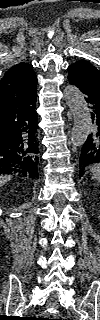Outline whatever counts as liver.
I'll list each match as a JSON object with an SVG mask.
<instances>
[{
	"mask_svg": "<svg viewBox=\"0 0 100 320\" xmlns=\"http://www.w3.org/2000/svg\"><path fill=\"white\" fill-rule=\"evenodd\" d=\"M11 180V176H1L0 177V183L1 185H4L6 182Z\"/></svg>",
	"mask_w": 100,
	"mask_h": 320,
	"instance_id": "6515ba94",
	"label": "liver"
}]
</instances>
